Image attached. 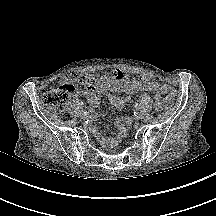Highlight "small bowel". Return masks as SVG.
Listing matches in <instances>:
<instances>
[{
    "instance_id": "small-bowel-1",
    "label": "small bowel",
    "mask_w": 216,
    "mask_h": 216,
    "mask_svg": "<svg viewBox=\"0 0 216 216\" xmlns=\"http://www.w3.org/2000/svg\"><path fill=\"white\" fill-rule=\"evenodd\" d=\"M88 86L85 90V96L92 106H97L103 95L109 92H124L127 94L150 91L155 93V107L157 109L162 108V87L155 82L152 76L148 73H143L134 79H129L126 71L121 69L113 70L110 73H106L102 76L100 81H96L95 76L88 75ZM129 96H109V101L117 108L123 109L129 100ZM116 133L106 137V142L114 144L118 142L119 138L124 132V126L121 121H116Z\"/></svg>"
}]
</instances>
